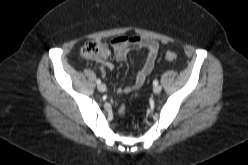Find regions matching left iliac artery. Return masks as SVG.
Here are the masks:
<instances>
[{
  "label": "left iliac artery",
  "instance_id": "obj_1",
  "mask_svg": "<svg viewBox=\"0 0 248 165\" xmlns=\"http://www.w3.org/2000/svg\"><path fill=\"white\" fill-rule=\"evenodd\" d=\"M153 84H154V85H158V80H154V81H153Z\"/></svg>",
  "mask_w": 248,
  "mask_h": 165
}]
</instances>
